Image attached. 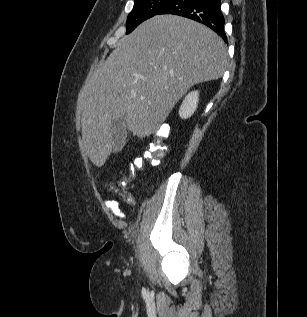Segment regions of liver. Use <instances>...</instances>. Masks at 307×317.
Returning <instances> with one entry per match:
<instances>
[{
  "mask_svg": "<svg viewBox=\"0 0 307 317\" xmlns=\"http://www.w3.org/2000/svg\"><path fill=\"white\" fill-rule=\"evenodd\" d=\"M228 66L224 41L193 20L157 15L124 36L78 96L82 139L101 167L112 151L113 122L143 138L166 120L195 84L216 80Z\"/></svg>",
  "mask_w": 307,
  "mask_h": 317,
  "instance_id": "obj_1",
  "label": "liver"
}]
</instances>
